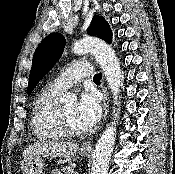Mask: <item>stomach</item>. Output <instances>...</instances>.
Wrapping results in <instances>:
<instances>
[{"label":"stomach","mask_w":175,"mask_h":174,"mask_svg":"<svg viewBox=\"0 0 175 174\" xmlns=\"http://www.w3.org/2000/svg\"><path fill=\"white\" fill-rule=\"evenodd\" d=\"M89 151L81 150L84 156L89 155ZM44 168V160L40 155L34 156L31 159H26L21 164L23 174H42Z\"/></svg>","instance_id":"0dacf381"}]
</instances>
